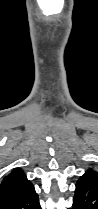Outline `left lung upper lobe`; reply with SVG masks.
<instances>
[{"label": "left lung upper lobe", "instance_id": "5c2ea615", "mask_svg": "<svg viewBox=\"0 0 98 209\" xmlns=\"http://www.w3.org/2000/svg\"><path fill=\"white\" fill-rule=\"evenodd\" d=\"M81 178H90L92 180H95L96 182H98V172H96L93 169H88L85 174L83 176H81Z\"/></svg>", "mask_w": 98, "mask_h": 209}]
</instances>
